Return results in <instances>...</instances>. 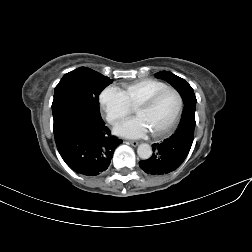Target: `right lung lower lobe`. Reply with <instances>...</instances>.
Here are the masks:
<instances>
[{"instance_id": "right-lung-lower-lobe-1", "label": "right lung lower lobe", "mask_w": 252, "mask_h": 252, "mask_svg": "<svg viewBox=\"0 0 252 252\" xmlns=\"http://www.w3.org/2000/svg\"><path fill=\"white\" fill-rule=\"evenodd\" d=\"M57 149L75 172L96 176L105 171L122 140L112 136L101 117L65 109L53 115Z\"/></svg>"}]
</instances>
